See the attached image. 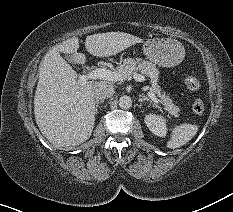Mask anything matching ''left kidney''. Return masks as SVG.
<instances>
[{"mask_svg":"<svg viewBox=\"0 0 233 212\" xmlns=\"http://www.w3.org/2000/svg\"><path fill=\"white\" fill-rule=\"evenodd\" d=\"M144 121L153 134L159 137H165L167 135L168 128L166 119L163 116L149 114L145 116Z\"/></svg>","mask_w":233,"mask_h":212,"instance_id":"5707ae66","label":"left kidney"}]
</instances>
